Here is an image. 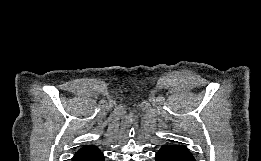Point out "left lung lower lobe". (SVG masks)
Masks as SVG:
<instances>
[{
  "label": "left lung lower lobe",
  "instance_id": "1",
  "mask_svg": "<svg viewBox=\"0 0 261 161\" xmlns=\"http://www.w3.org/2000/svg\"><path fill=\"white\" fill-rule=\"evenodd\" d=\"M155 157L156 161H195L183 145H163Z\"/></svg>",
  "mask_w": 261,
  "mask_h": 161
}]
</instances>
